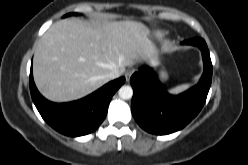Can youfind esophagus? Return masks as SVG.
<instances>
[{
    "label": "esophagus",
    "instance_id": "1",
    "mask_svg": "<svg viewBox=\"0 0 248 165\" xmlns=\"http://www.w3.org/2000/svg\"><path fill=\"white\" fill-rule=\"evenodd\" d=\"M135 72L134 69H130L126 72L125 77H126V81L130 80V77L132 76V74Z\"/></svg>",
    "mask_w": 248,
    "mask_h": 165
}]
</instances>
